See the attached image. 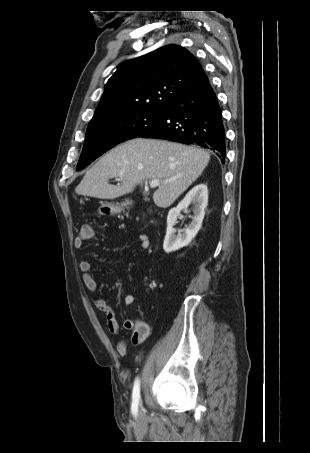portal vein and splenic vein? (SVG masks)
<instances>
[{"label":"portal vein and splenic vein","mask_w":310,"mask_h":453,"mask_svg":"<svg viewBox=\"0 0 310 453\" xmlns=\"http://www.w3.org/2000/svg\"><path fill=\"white\" fill-rule=\"evenodd\" d=\"M117 181H120V179H117ZM168 182V180L166 181ZM160 185V180L159 179H153L151 182H150V187L151 188H156L157 186Z\"/></svg>","instance_id":"obj_1"}]
</instances>
